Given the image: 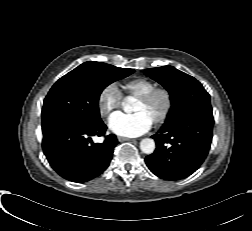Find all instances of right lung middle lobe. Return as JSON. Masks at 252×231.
Returning a JSON list of instances; mask_svg holds the SVG:
<instances>
[{
    "instance_id": "dd1d6c3e",
    "label": "right lung middle lobe",
    "mask_w": 252,
    "mask_h": 231,
    "mask_svg": "<svg viewBox=\"0 0 252 231\" xmlns=\"http://www.w3.org/2000/svg\"><path fill=\"white\" fill-rule=\"evenodd\" d=\"M134 72L106 63L88 61L62 78L47 94L42 108V131L63 122L85 125L101 121L98 100L103 89Z\"/></svg>"
}]
</instances>
